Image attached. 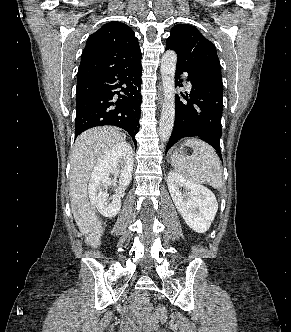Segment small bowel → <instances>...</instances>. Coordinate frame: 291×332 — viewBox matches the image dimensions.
<instances>
[{"label":"small bowel","mask_w":291,"mask_h":332,"mask_svg":"<svg viewBox=\"0 0 291 332\" xmlns=\"http://www.w3.org/2000/svg\"><path fill=\"white\" fill-rule=\"evenodd\" d=\"M133 313L137 318V320L147 327L155 326L158 321L164 319V313L162 311H157L153 314L151 313L140 314L138 312V304L133 305ZM129 326H132V322H129Z\"/></svg>","instance_id":"1"}]
</instances>
